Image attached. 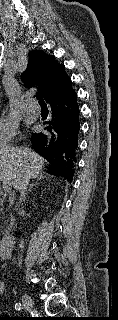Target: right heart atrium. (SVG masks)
<instances>
[{"label":"right heart atrium","instance_id":"d8ad5b80","mask_svg":"<svg viewBox=\"0 0 118 320\" xmlns=\"http://www.w3.org/2000/svg\"><path fill=\"white\" fill-rule=\"evenodd\" d=\"M18 134V127L15 122L0 119V146L11 142Z\"/></svg>","mask_w":118,"mask_h":320}]
</instances>
